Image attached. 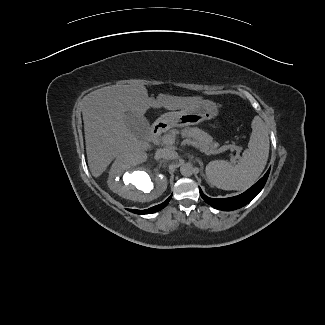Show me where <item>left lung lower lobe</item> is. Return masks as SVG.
I'll use <instances>...</instances> for the list:
<instances>
[{
    "label": "left lung lower lobe",
    "instance_id": "1",
    "mask_svg": "<svg viewBox=\"0 0 325 325\" xmlns=\"http://www.w3.org/2000/svg\"><path fill=\"white\" fill-rule=\"evenodd\" d=\"M270 169L266 172V174L257 182L255 183L251 188H249L244 193L229 197V198H210L207 197L199 188L201 197L212 207L222 210V211H232L238 208H241L248 204L254 197L257 196V194L262 190L264 187L268 175H269Z\"/></svg>",
    "mask_w": 325,
    "mask_h": 325
}]
</instances>
